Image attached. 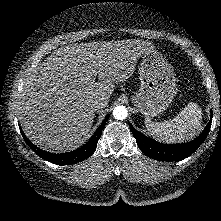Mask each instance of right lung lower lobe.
Returning <instances> with one entry per match:
<instances>
[{
  "label": "right lung lower lobe",
  "instance_id": "1",
  "mask_svg": "<svg viewBox=\"0 0 221 221\" xmlns=\"http://www.w3.org/2000/svg\"><path fill=\"white\" fill-rule=\"evenodd\" d=\"M108 120V116L104 119L102 124L98 127L94 135L91 137V139L82 147L71 151L67 153L62 154H54L50 152L43 151L42 149L36 147L31 141L28 140V138L25 136L23 131L20 128L21 134L28 144V146L40 157L43 159L57 164V165H70L79 161H83L84 159L88 158L96 149L97 142L101 136L102 130Z\"/></svg>",
  "mask_w": 221,
  "mask_h": 221
}]
</instances>
